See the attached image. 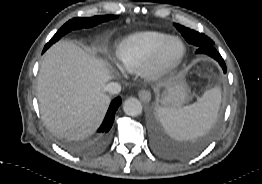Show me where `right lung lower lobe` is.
Here are the masks:
<instances>
[{
    "mask_svg": "<svg viewBox=\"0 0 262 184\" xmlns=\"http://www.w3.org/2000/svg\"><path fill=\"white\" fill-rule=\"evenodd\" d=\"M120 104H121L120 97L115 98L111 102L107 114L104 118V121L101 124L100 128L98 129L97 145L102 146L108 141L110 135V129L114 122V115Z\"/></svg>",
    "mask_w": 262,
    "mask_h": 184,
    "instance_id": "98d812e1",
    "label": "right lung lower lobe"
}]
</instances>
